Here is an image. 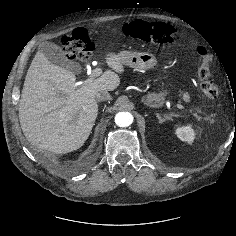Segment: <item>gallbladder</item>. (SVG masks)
Returning <instances> with one entry per match:
<instances>
[{
	"mask_svg": "<svg viewBox=\"0 0 236 236\" xmlns=\"http://www.w3.org/2000/svg\"><path fill=\"white\" fill-rule=\"evenodd\" d=\"M39 50L54 64L61 66L69 71L79 73L81 71L80 64L66 57L63 50L52 42H42Z\"/></svg>",
	"mask_w": 236,
	"mask_h": 236,
	"instance_id": "1",
	"label": "gallbladder"
}]
</instances>
